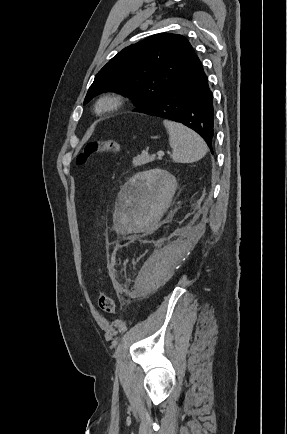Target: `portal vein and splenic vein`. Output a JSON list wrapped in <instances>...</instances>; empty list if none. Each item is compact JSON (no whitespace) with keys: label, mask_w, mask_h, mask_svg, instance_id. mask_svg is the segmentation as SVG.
Here are the masks:
<instances>
[{"label":"portal vein and splenic vein","mask_w":287,"mask_h":434,"mask_svg":"<svg viewBox=\"0 0 287 434\" xmlns=\"http://www.w3.org/2000/svg\"><path fill=\"white\" fill-rule=\"evenodd\" d=\"M157 156H158V157H162V156H164V152H163V151H158V152H157Z\"/></svg>","instance_id":"obj_1"}]
</instances>
